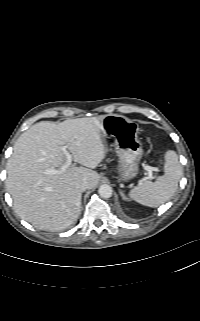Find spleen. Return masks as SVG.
Here are the masks:
<instances>
[{
    "label": "spleen",
    "mask_w": 200,
    "mask_h": 321,
    "mask_svg": "<svg viewBox=\"0 0 200 321\" xmlns=\"http://www.w3.org/2000/svg\"><path fill=\"white\" fill-rule=\"evenodd\" d=\"M164 175L155 182L144 180L129 192L131 199L148 207H159L167 202L177 191L183 171L178 155L173 150L165 152Z\"/></svg>",
    "instance_id": "1"
}]
</instances>
